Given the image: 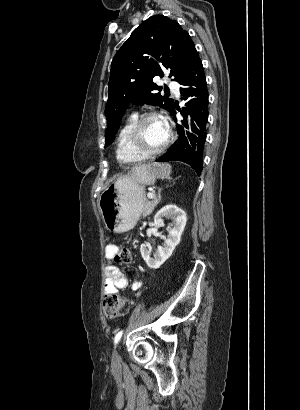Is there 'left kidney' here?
Listing matches in <instances>:
<instances>
[{
  "mask_svg": "<svg viewBox=\"0 0 300 410\" xmlns=\"http://www.w3.org/2000/svg\"><path fill=\"white\" fill-rule=\"evenodd\" d=\"M164 217L171 218L173 224L172 227L168 228V236L164 238L163 245L158 246L153 253V257L152 250L147 244L144 243L140 247L142 258L151 269H158L172 255L180 242L187 221L186 213L172 204L164 206L156 213L154 217L155 225L164 226Z\"/></svg>",
  "mask_w": 300,
  "mask_h": 410,
  "instance_id": "5707ae66",
  "label": "left kidney"
}]
</instances>
